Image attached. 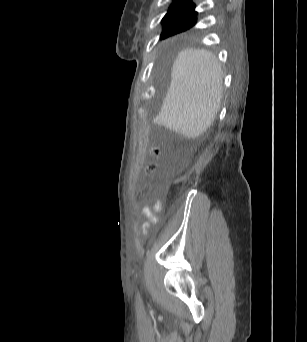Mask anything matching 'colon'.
<instances>
[{"instance_id": "5ec220e1", "label": "colon", "mask_w": 307, "mask_h": 342, "mask_svg": "<svg viewBox=\"0 0 307 342\" xmlns=\"http://www.w3.org/2000/svg\"><path fill=\"white\" fill-rule=\"evenodd\" d=\"M152 153L154 155H158L159 154V148H153ZM157 169H158V167L154 164H151V163L146 165V167H145L147 174L150 176L153 175L157 171Z\"/></svg>"}]
</instances>
